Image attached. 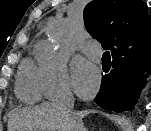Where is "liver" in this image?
I'll return each instance as SVG.
<instances>
[{
  "instance_id": "1",
  "label": "liver",
  "mask_w": 151,
  "mask_h": 131,
  "mask_svg": "<svg viewBox=\"0 0 151 131\" xmlns=\"http://www.w3.org/2000/svg\"><path fill=\"white\" fill-rule=\"evenodd\" d=\"M89 111L62 110L54 103L22 109L9 120L8 131H85L82 118Z\"/></svg>"
}]
</instances>
